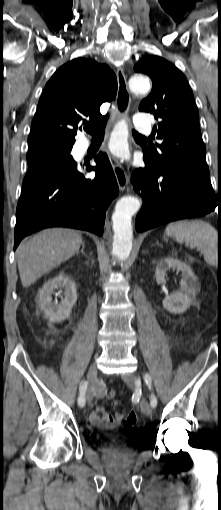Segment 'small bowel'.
Instances as JSON below:
<instances>
[{"instance_id":"obj_1","label":"small bowel","mask_w":221,"mask_h":510,"mask_svg":"<svg viewBox=\"0 0 221 510\" xmlns=\"http://www.w3.org/2000/svg\"><path fill=\"white\" fill-rule=\"evenodd\" d=\"M102 390L100 389L98 393L100 394ZM124 418V413L117 412L115 414H110L105 412V409L102 405H97L92 410L89 415V421L96 427L101 429L109 430L117 427L121 424Z\"/></svg>"}]
</instances>
